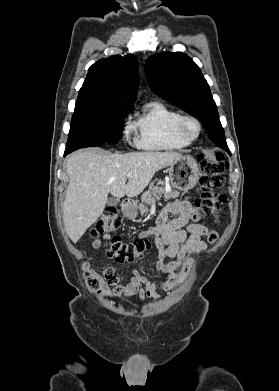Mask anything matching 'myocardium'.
Segmentation results:
<instances>
[{
  "label": "myocardium",
  "instance_id": "obj_1",
  "mask_svg": "<svg viewBox=\"0 0 279 391\" xmlns=\"http://www.w3.org/2000/svg\"><path fill=\"white\" fill-rule=\"evenodd\" d=\"M192 124L195 128L194 135L189 136L186 132V127ZM176 135L183 141H185L188 144H191L194 142L200 135L201 132V123L200 121L194 117L193 115L189 114H181L176 122L175 127Z\"/></svg>",
  "mask_w": 279,
  "mask_h": 391
}]
</instances>
